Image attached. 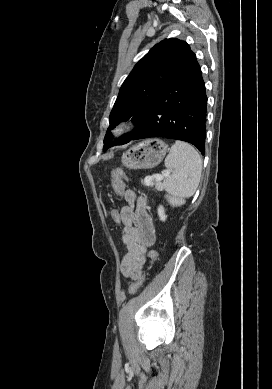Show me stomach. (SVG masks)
<instances>
[{"label": "stomach", "instance_id": "0dacf381", "mask_svg": "<svg viewBox=\"0 0 272 389\" xmlns=\"http://www.w3.org/2000/svg\"><path fill=\"white\" fill-rule=\"evenodd\" d=\"M167 153V145L160 139H147L127 150L121 159L129 169H150L157 166Z\"/></svg>", "mask_w": 272, "mask_h": 389}]
</instances>
